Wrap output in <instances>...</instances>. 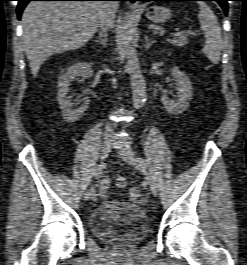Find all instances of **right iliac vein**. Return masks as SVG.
Listing matches in <instances>:
<instances>
[{
    "mask_svg": "<svg viewBox=\"0 0 247 265\" xmlns=\"http://www.w3.org/2000/svg\"><path fill=\"white\" fill-rule=\"evenodd\" d=\"M111 150V141L110 140H105L101 146L100 150V159L105 160ZM90 198L89 196V191L85 193V199L88 200Z\"/></svg>",
    "mask_w": 247,
    "mask_h": 265,
    "instance_id": "63e3f726",
    "label": "right iliac vein"
}]
</instances>
